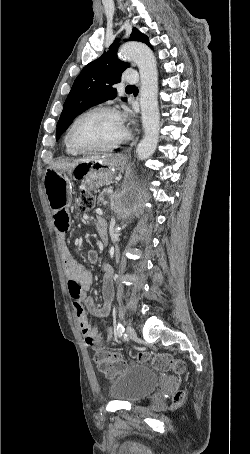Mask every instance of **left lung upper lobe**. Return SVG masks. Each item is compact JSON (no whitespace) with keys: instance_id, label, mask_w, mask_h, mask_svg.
<instances>
[{"instance_id":"left-lung-upper-lobe-1","label":"left lung upper lobe","mask_w":250,"mask_h":454,"mask_svg":"<svg viewBox=\"0 0 250 454\" xmlns=\"http://www.w3.org/2000/svg\"><path fill=\"white\" fill-rule=\"evenodd\" d=\"M130 40L140 41L152 47L148 37L136 28H133ZM118 46L116 40L100 58L87 64L75 79L57 123L56 139L83 111L116 97L117 90L114 85L121 81L123 71L130 66L129 63L117 58ZM123 100L127 101V98Z\"/></svg>"}]
</instances>
